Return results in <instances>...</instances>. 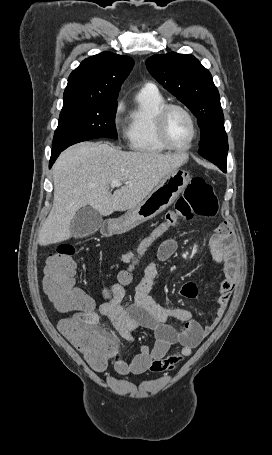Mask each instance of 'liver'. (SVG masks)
Here are the masks:
<instances>
[{
	"label": "liver",
	"mask_w": 272,
	"mask_h": 455,
	"mask_svg": "<svg viewBox=\"0 0 272 455\" xmlns=\"http://www.w3.org/2000/svg\"><path fill=\"white\" fill-rule=\"evenodd\" d=\"M187 159L185 154L125 152L109 143L69 147L53 166V207L39 232V245L68 240L72 219L87 205L103 216L136 207ZM114 180L125 185L111 194L109 186Z\"/></svg>",
	"instance_id": "liver-1"
}]
</instances>
